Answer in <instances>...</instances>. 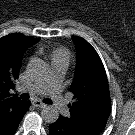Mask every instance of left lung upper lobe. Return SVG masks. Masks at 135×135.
Here are the masks:
<instances>
[{"label": "left lung upper lobe", "instance_id": "left-lung-upper-lobe-1", "mask_svg": "<svg viewBox=\"0 0 135 135\" xmlns=\"http://www.w3.org/2000/svg\"><path fill=\"white\" fill-rule=\"evenodd\" d=\"M72 39L77 66L70 88L75 102L69 105L71 116L68 119L97 135L104 129L111 110L107 75L95 49L83 38Z\"/></svg>", "mask_w": 135, "mask_h": 135}]
</instances>
